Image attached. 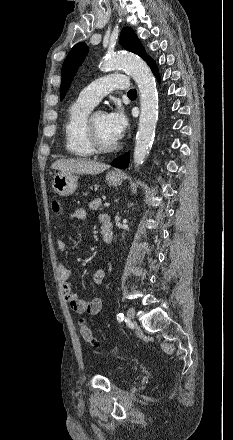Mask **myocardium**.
<instances>
[{
	"instance_id": "f54148a6",
	"label": "myocardium",
	"mask_w": 233,
	"mask_h": 440,
	"mask_svg": "<svg viewBox=\"0 0 233 440\" xmlns=\"http://www.w3.org/2000/svg\"><path fill=\"white\" fill-rule=\"evenodd\" d=\"M98 112H100V111L90 113L85 121V134H86L87 141L95 153L114 152L120 146V143L118 141H116L112 144H109V145H105L98 138V135L95 130L94 123H93L94 116Z\"/></svg>"
}]
</instances>
